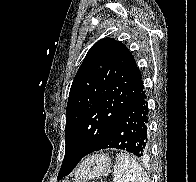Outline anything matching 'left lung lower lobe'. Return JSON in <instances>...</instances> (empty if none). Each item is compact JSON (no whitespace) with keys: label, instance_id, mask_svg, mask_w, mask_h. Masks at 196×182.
I'll return each instance as SVG.
<instances>
[{"label":"left lung lower lobe","instance_id":"0a47b994","mask_svg":"<svg viewBox=\"0 0 196 182\" xmlns=\"http://www.w3.org/2000/svg\"><path fill=\"white\" fill-rule=\"evenodd\" d=\"M148 136V105L143 88L140 94L122 111L109 133L94 151L115 148L137 157H146L149 153ZM85 153H82L81 147L75 146L69 149L64 161L78 163Z\"/></svg>","mask_w":196,"mask_h":182}]
</instances>
